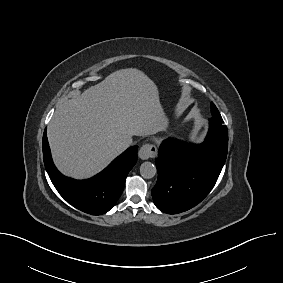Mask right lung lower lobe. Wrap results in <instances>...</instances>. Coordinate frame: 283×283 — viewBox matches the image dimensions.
Masks as SVG:
<instances>
[{
	"mask_svg": "<svg viewBox=\"0 0 283 283\" xmlns=\"http://www.w3.org/2000/svg\"><path fill=\"white\" fill-rule=\"evenodd\" d=\"M42 147L46 171L57 191L72 206L92 215H101L113 208L122 194L127 174L137 161L138 146H132L96 176L75 180L65 177L54 166L46 130Z\"/></svg>",
	"mask_w": 283,
	"mask_h": 283,
	"instance_id": "1",
	"label": "right lung lower lobe"
}]
</instances>
